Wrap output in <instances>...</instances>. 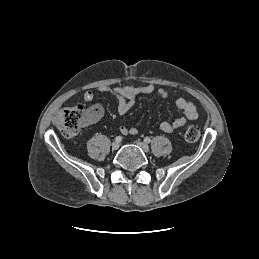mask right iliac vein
<instances>
[{
    "mask_svg": "<svg viewBox=\"0 0 259 259\" xmlns=\"http://www.w3.org/2000/svg\"><path fill=\"white\" fill-rule=\"evenodd\" d=\"M111 146H112L113 150H117L119 148L120 144H119V142L115 141V142L112 143Z\"/></svg>",
    "mask_w": 259,
    "mask_h": 259,
    "instance_id": "obj_1",
    "label": "right iliac vein"
}]
</instances>
